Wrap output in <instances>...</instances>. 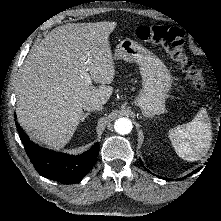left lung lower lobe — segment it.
Returning a JSON list of instances; mask_svg holds the SVG:
<instances>
[{
  "label": "left lung lower lobe",
  "mask_w": 221,
  "mask_h": 221,
  "mask_svg": "<svg viewBox=\"0 0 221 221\" xmlns=\"http://www.w3.org/2000/svg\"><path fill=\"white\" fill-rule=\"evenodd\" d=\"M146 169V168H145ZM201 168H198L197 170H195V171H193L192 173H190L188 176H190V175H192V174H194V173H196L197 171H199ZM147 170V169H146ZM183 179V178H182ZM178 180H180V179H178Z\"/></svg>",
  "instance_id": "left-lung-lower-lobe-1"
}]
</instances>
